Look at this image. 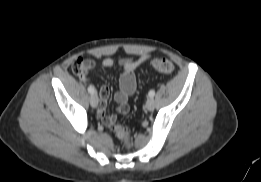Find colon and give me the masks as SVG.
I'll list each match as a JSON object with an SVG mask.
<instances>
[{"label":"colon","instance_id":"5ec220e1","mask_svg":"<svg viewBox=\"0 0 261 182\" xmlns=\"http://www.w3.org/2000/svg\"><path fill=\"white\" fill-rule=\"evenodd\" d=\"M150 64L153 69L164 74H171L175 69L173 62L168 58H155L151 60ZM72 71L78 77L84 79L88 76L89 67L85 60L78 58L72 65ZM109 128L123 142L126 148H131L132 136L129 128L115 123V121L109 124Z\"/></svg>","mask_w":261,"mask_h":182}]
</instances>
